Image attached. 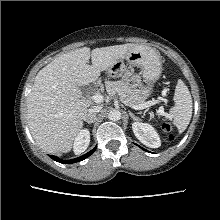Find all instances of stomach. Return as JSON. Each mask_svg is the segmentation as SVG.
Instances as JSON below:
<instances>
[{"mask_svg": "<svg viewBox=\"0 0 220 220\" xmlns=\"http://www.w3.org/2000/svg\"><path fill=\"white\" fill-rule=\"evenodd\" d=\"M124 59L130 67L142 69L141 75L147 86L140 93L146 99L153 91V85L161 75L162 67L159 53L151 47L137 45L129 49L121 59L106 70L108 78L126 77L128 70L124 64Z\"/></svg>", "mask_w": 220, "mask_h": 220, "instance_id": "obj_1", "label": "stomach"}]
</instances>
